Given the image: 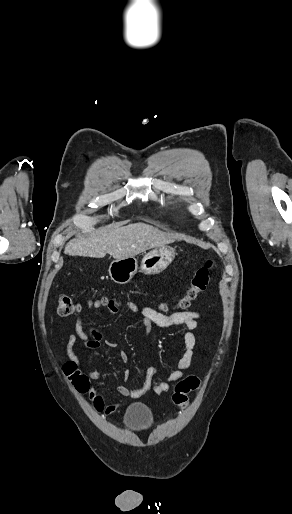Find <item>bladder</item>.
<instances>
[{"mask_svg":"<svg viewBox=\"0 0 292 514\" xmlns=\"http://www.w3.org/2000/svg\"><path fill=\"white\" fill-rule=\"evenodd\" d=\"M123 422L131 430L146 429L153 423V413L145 404L136 402L127 408Z\"/></svg>","mask_w":292,"mask_h":514,"instance_id":"bladder-1","label":"bladder"}]
</instances>
